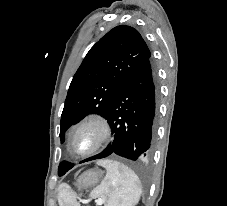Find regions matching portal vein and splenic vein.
<instances>
[{
    "label": "portal vein and splenic vein",
    "instance_id": "1",
    "mask_svg": "<svg viewBox=\"0 0 227 206\" xmlns=\"http://www.w3.org/2000/svg\"><path fill=\"white\" fill-rule=\"evenodd\" d=\"M97 202H98V203H102V200H101V199H99V200H97Z\"/></svg>",
    "mask_w": 227,
    "mask_h": 206
}]
</instances>
